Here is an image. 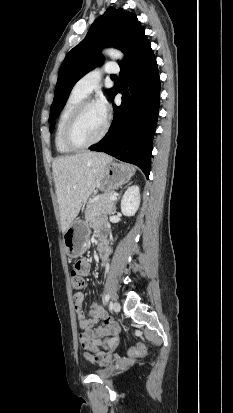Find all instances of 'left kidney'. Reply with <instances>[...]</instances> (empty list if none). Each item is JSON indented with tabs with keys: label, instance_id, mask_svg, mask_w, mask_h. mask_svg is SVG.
Segmentation results:
<instances>
[{
	"label": "left kidney",
	"instance_id": "obj_1",
	"mask_svg": "<svg viewBox=\"0 0 233 413\" xmlns=\"http://www.w3.org/2000/svg\"><path fill=\"white\" fill-rule=\"evenodd\" d=\"M140 205V190L138 186H131L127 189L121 199V212L125 216H133Z\"/></svg>",
	"mask_w": 233,
	"mask_h": 413
}]
</instances>
